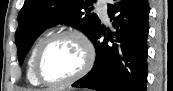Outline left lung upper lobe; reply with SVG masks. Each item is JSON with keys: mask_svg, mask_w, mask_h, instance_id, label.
Wrapping results in <instances>:
<instances>
[{"mask_svg": "<svg viewBox=\"0 0 173 91\" xmlns=\"http://www.w3.org/2000/svg\"><path fill=\"white\" fill-rule=\"evenodd\" d=\"M92 0H25L18 15L15 41L21 64L33 41L47 27L66 23L82 30L90 39L100 20L88 7Z\"/></svg>", "mask_w": 173, "mask_h": 91, "instance_id": "obj_1", "label": "left lung upper lobe"}]
</instances>
